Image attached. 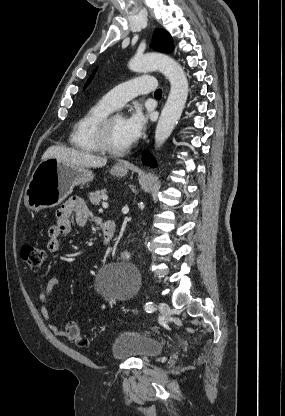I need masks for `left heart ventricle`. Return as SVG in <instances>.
<instances>
[{
  "mask_svg": "<svg viewBox=\"0 0 285 416\" xmlns=\"http://www.w3.org/2000/svg\"><path fill=\"white\" fill-rule=\"evenodd\" d=\"M123 118L119 114H114L108 128L109 144L117 149L128 146L123 135Z\"/></svg>",
  "mask_w": 285,
  "mask_h": 416,
  "instance_id": "1",
  "label": "left heart ventricle"
}]
</instances>
